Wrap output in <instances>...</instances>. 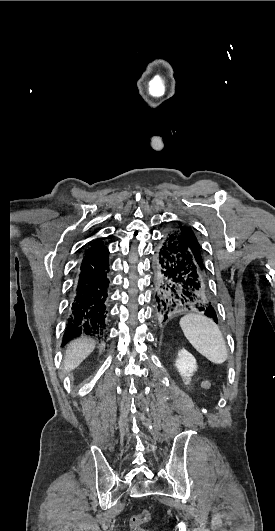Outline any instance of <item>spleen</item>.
Masks as SVG:
<instances>
[{"label": "spleen", "mask_w": 275, "mask_h": 531, "mask_svg": "<svg viewBox=\"0 0 275 531\" xmlns=\"http://www.w3.org/2000/svg\"><path fill=\"white\" fill-rule=\"evenodd\" d=\"M179 325L192 347L215 365H222L228 359L223 335L213 319L205 315L187 313Z\"/></svg>", "instance_id": "spleen-1"}]
</instances>
